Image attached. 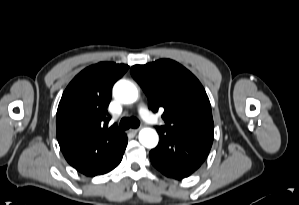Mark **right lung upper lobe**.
Segmentation results:
<instances>
[{"instance_id":"right-lung-upper-lobe-1","label":"right lung upper lobe","mask_w":299,"mask_h":205,"mask_svg":"<svg viewBox=\"0 0 299 205\" xmlns=\"http://www.w3.org/2000/svg\"><path fill=\"white\" fill-rule=\"evenodd\" d=\"M129 66L101 62L81 71L67 86L56 116V135L67 162L86 176L119 151L125 134L107 128L113 84Z\"/></svg>"}]
</instances>
